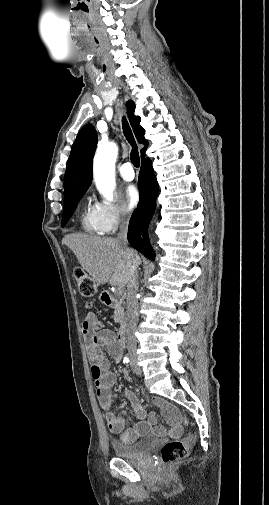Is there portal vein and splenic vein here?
Wrapping results in <instances>:
<instances>
[{
    "mask_svg": "<svg viewBox=\"0 0 269 505\" xmlns=\"http://www.w3.org/2000/svg\"><path fill=\"white\" fill-rule=\"evenodd\" d=\"M117 293L118 294H122L123 293V287L118 286Z\"/></svg>",
    "mask_w": 269,
    "mask_h": 505,
    "instance_id": "18ae733b",
    "label": "portal vein and splenic vein"
}]
</instances>
